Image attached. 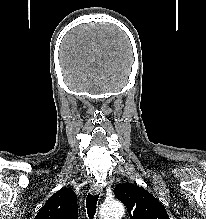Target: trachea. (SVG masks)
Segmentation results:
<instances>
[{
	"mask_svg": "<svg viewBox=\"0 0 206 219\" xmlns=\"http://www.w3.org/2000/svg\"><path fill=\"white\" fill-rule=\"evenodd\" d=\"M99 194H88L86 198V208L89 219H93L97 209Z\"/></svg>",
	"mask_w": 206,
	"mask_h": 219,
	"instance_id": "trachea-1",
	"label": "trachea"
}]
</instances>
